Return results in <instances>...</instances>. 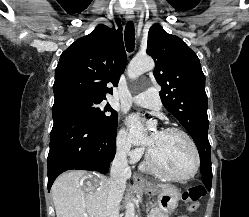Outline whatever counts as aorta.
<instances>
[{
    "label": "aorta",
    "mask_w": 249,
    "mask_h": 217,
    "mask_svg": "<svg viewBox=\"0 0 249 217\" xmlns=\"http://www.w3.org/2000/svg\"><path fill=\"white\" fill-rule=\"evenodd\" d=\"M154 67L155 63L151 57L137 56L128 66V76L131 79H136L146 71L152 70ZM125 217H135V205L133 200L127 204Z\"/></svg>",
    "instance_id": "1"
}]
</instances>
